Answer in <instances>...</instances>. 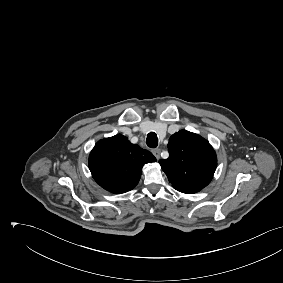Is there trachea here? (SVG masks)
Returning <instances> with one entry per match:
<instances>
[{"label":"trachea","instance_id":"1","mask_svg":"<svg viewBox=\"0 0 283 283\" xmlns=\"http://www.w3.org/2000/svg\"><path fill=\"white\" fill-rule=\"evenodd\" d=\"M146 144L150 148H156L158 145V138L156 133L151 132L147 135Z\"/></svg>","mask_w":283,"mask_h":283}]
</instances>
